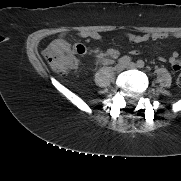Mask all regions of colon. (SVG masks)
<instances>
[{
	"mask_svg": "<svg viewBox=\"0 0 181 181\" xmlns=\"http://www.w3.org/2000/svg\"><path fill=\"white\" fill-rule=\"evenodd\" d=\"M84 52L85 47L81 44L74 45L72 49L52 46L46 49L44 56L56 73L64 75L75 67V55H81ZM177 83L181 87V73L178 75Z\"/></svg>",
	"mask_w": 181,
	"mask_h": 181,
	"instance_id": "5ec220e1",
	"label": "colon"
}]
</instances>
